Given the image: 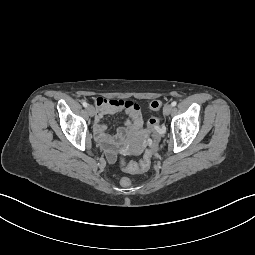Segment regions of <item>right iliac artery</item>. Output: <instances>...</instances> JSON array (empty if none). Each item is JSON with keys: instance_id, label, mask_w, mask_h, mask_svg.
<instances>
[{"instance_id": "1", "label": "right iliac artery", "mask_w": 255, "mask_h": 255, "mask_svg": "<svg viewBox=\"0 0 255 255\" xmlns=\"http://www.w3.org/2000/svg\"><path fill=\"white\" fill-rule=\"evenodd\" d=\"M82 105H83L84 107H87V106H88V104H87L86 101H83V102H82Z\"/></svg>"}]
</instances>
